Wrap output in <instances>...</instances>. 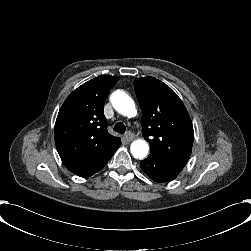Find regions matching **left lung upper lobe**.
Wrapping results in <instances>:
<instances>
[{"label": "left lung upper lobe", "instance_id": "obj_1", "mask_svg": "<svg viewBox=\"0 0 251 251\" xmlns=\"http://www.w3.org/2000/svg\"><path fill=\"white\" fill-rule=\"evenodd\" d=\"M134 88L142 109V133L149 141L150 155L185 167L194 132L183 102L169 86L154 77L135 79Z\"/></svg>", "mask_w": 251, "mask_h": 251}]
</instances>
